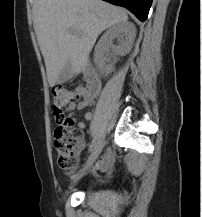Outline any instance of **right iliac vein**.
I'll use <instances>...</instances> for the list:
<instances>
[{
    "instance_id": "obj_1",
    "label": "right iliac vein",
    "mask_w": 202,
    "mask_h": 217,
    "mask_svg": "<svg viewBox=\"0 0 202 217\" xmlns=\"http://www.w3.org/2000/svg\"><path fill=\"white\" fill-rule=\"evenodd\" d=\"M104 144H105L104 138H102L98 141V143L95 145V147H94L91 155L89 156L86 164L84 165V167L80 170V172L77 175L74 176L72 184H75L86 173V171L91 168L93 163L96 161V159L100 155V153L104 147Z\"/></svg>"
}]
</instances>
